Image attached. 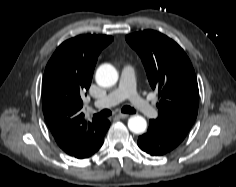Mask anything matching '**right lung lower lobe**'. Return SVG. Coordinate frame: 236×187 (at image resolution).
Returning a JSON list of instances; mask_svg holds the SVG:
<instances>
[{"label": "right lung lower lobe", "mask_w": 236, "mask_h": 187, "mask_svg": "<svg viewBox=\"0 0 236 187\" xmlns=\"http://www.w3.org/2000/svg\"><path fill=\"white\" fill-rule=\"evenodd\" d=\"M109 126H110V122H109L108 120H105V133H106V131L108 130ZM105 133H104V134H105ZM103 138H104V137H103ZM102 144H103V140H102V142L100 143V145L97 147L96 151L101 147ZM96 151H95V152H96Z\"/></svg>", "instance_id": "1"}]
</instances>
